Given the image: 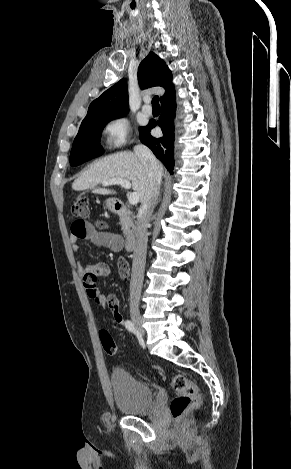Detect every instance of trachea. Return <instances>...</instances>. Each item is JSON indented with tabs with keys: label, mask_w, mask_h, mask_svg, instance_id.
Returning a JSON list of instances; mask_svg holds the SVG:
<instances>
[{
	"label": "trachea",
	"mask_w": 291,
	"mask_h": 469,
	"mask_svg": "<svg viewBox=\"0 0 291 469\" xmlns=\"http://www.w3.org/2000/svg\"><path fill=\"white\" fill-rule=\"evenodd\" d=\"M152 107L160 108V105H159V97H158V96H154V97H153V99H152Z\"/></svg>",
	"instance_id": "1"
}]
</instances>
